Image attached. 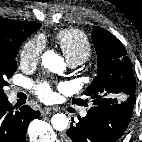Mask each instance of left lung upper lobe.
<instances>
[{"label": "left lung upper lobe", "instance_id": "1", "mask_svg": "<svg viewBox=\"0 0 142 142\" xmlns=\"http://www.w3.org/2000/svg\"><path fill=\"white\" fill-rule=\"evenodd\" d=\"M92 39L98 55V75L84 92L88 99H74L73 103L87 106L92 99L94 106L134 104L135 77L124 46L98 26L93 28Z\"/></svg>", "mask_w": 142, "mask_h": 142}]
</instances>
